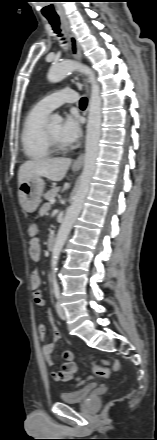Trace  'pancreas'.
I'll return each instance as SVG.
<instances>
[{
    "label": "pancreas",
    "mask_w": 157,
    "mask_h": 440,
    "mask_svg": "<svg viewBox=\"0 0 157 440\" xmlns=\"http://www.w3.org/2000/svg\"><path fill=\"white\" fill-rule=\"evenodd\" d=\"M59 187H54L53 189L49 190L47 193L44 194V198L48 201L55 198L59 192Z\"/></svg>",
    "instance_id": "obj_1"
}]
</instances>
